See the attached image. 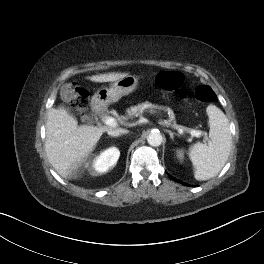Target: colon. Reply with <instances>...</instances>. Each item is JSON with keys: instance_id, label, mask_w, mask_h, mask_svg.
<instances>
[{"instance_id": "colon-1", "label": "colon", "mask_w": 264, "mask_h": 264, "mask_svg": "<svg viewBox=\"0 0 264 264\" xmlns=\"http://www.w3.org/2000/svg\"><path fill=\"white\" fill-rule=\"evenodd\" d=\"M156 84L165 91L171 92L180 98H187L183 89L184 75L180 72H160L156 76ZM89 95L86 90L73 87L72 89V108L82 115L86 109ZM194 98L198 102L210 103L215 100L214 91L206 85H199L194 91Z\"/></svg>"}]
</instances>
